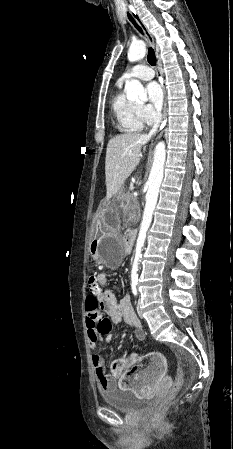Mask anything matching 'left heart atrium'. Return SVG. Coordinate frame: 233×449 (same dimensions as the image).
I'll use <instances>...</instances> for the list:
<instances>
[{"label": "left heart atrium", "instance_id": "39dd6f15", "mask_svg": "<svg viewBox=\"0 0 233 449\" xmlns=\"http://www.w3.org/2000/svg\"><path fill=\"white\" fill-rule=\"evenodd\" d=\"M146 91L150 102L155 108H160L163 102V90L157 82H151L147 85Z\"/></svg>", "mask_w": 233, "mask_h": 449}]
</instances>
